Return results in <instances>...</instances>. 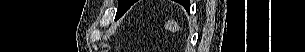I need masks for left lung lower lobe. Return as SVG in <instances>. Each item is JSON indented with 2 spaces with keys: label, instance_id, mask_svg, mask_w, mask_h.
I'll use <instances>...</instances> for the list:
<instances>
[{
  "label": "left lung lower lobe",
  "instance_id": "1",
  "mask_svg": "<svg viewBox=\"0 0 305 52\" xmlns=\"http://www.w3.org/2000/svg\"><path fill=\"white\" fill-rule=\"evenodd\" d=\"M186 9H189V3H187Z\"/></svg>",
  "mask_w": 305,
  "mask_h": 52
}]
</instances>
